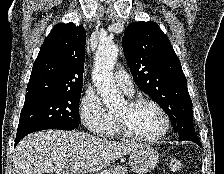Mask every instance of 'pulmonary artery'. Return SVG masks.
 <instances>
[{"mask_svg":"<svg viewBox=\"0 0 224 174\" xmlns=\"http://www.w3.org/2000/svg\"><path fill=\"white\" fill-rule=\"evenodd\" d=\"M114 78L117 86H119L127 95H132L134 93L133 83L125 71H116Z\"/></svg>","mask_w":224,"mask_h":174,"instance_id":"e3ab8cb5","label":"pulmonary artery"}]
</instances>
